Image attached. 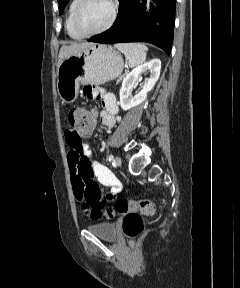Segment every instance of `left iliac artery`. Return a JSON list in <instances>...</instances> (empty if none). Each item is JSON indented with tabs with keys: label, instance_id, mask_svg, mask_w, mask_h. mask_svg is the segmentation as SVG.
Here are the masks:
<instances>
[{
	"label": "left iliac artery",
	"instance_id": "1",
	"mask_svg": "<svg viewBox=\"0 0 240 288\" xmlns=\"http://www.w3.org/2000/svg\"><path fill=\"white\" fill-rule=\"evenodd\" d=\"M108 161L109 162H112L114 160V156L112 154H110L108 157H107Z\"/></svg>",
	"mask_w": 240,
	"mask_h": 288
}]
</instances>
